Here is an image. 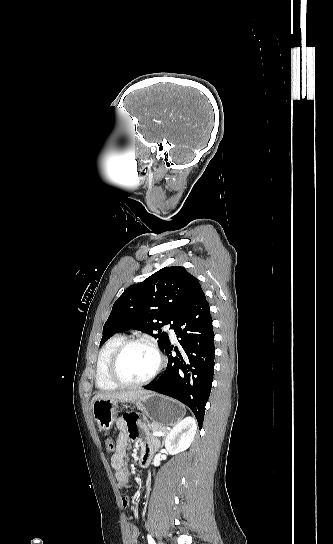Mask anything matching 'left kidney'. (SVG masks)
<instances>
[{"label": "left kidney", "instance_id": "5707ae66", "mask_svg": "<svg viewBox=\"0 0 333 544\" xmlns=\"http://www.w3.org/2000/svg\"><path fill=\"white\" fill-rule=\"evenodd\" d=\"M196 422L192 417H186L168 433L165 440L166 450L174 455L188 449L196 434Z\"/></svg>", "mask_w": 333, "mask_h": 544}]
</instances>
